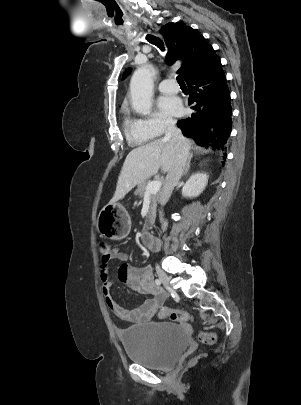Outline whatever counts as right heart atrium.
<instances>
[{"label": "right heart atrium", "instance_id": "right-heart-atrium-1", "mask_svg": "<svg viewBox=\"0 0 301 405\" xmlns=\"http://www.w3.org/2000/svg\"><path fill=\"white\" fill-rule=\"evenodd\" d=\"M141 120L146 129L150 131L154 136L163 134L167 129L174 125L173 118L159 112H155L152 115Z\"/></svg>", "mask_w": 301, "mask_h": 405}]
</instances>
